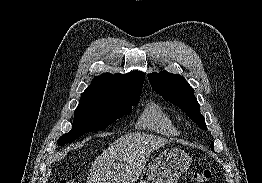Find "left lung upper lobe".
<instances>
[{
    "mask_svg": "<svg viewBox=\"0 0 262 183\" xmlns=\"http://www.w3.org/2000/svg\"><path fill=\"white\" fill-rule=\"evenodd\" d=\"M148 79L155 92L186 112L201 129H207L193 89L184 77L161 71L160 73L153 72L148 74ZM211 148L213 149V143Z\"/></svg>",
    "mask_w": 262,
    "mask_h": 183,
    "instance_id": "1",
    "label": "left lung upper lobe"
}]
</instances>
